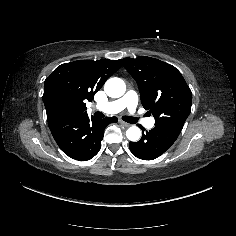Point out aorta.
<instances>
[{"label":"aorta","mask_w":236,"mask_h":236,"mask_svg":"<svg viewBox=\"0 0 236 236\" xmlns=\"http://www.w3.org/2000/svg\"><path fill=\"white\" fill-rule=\"evenodd\" d=\"M104 90L109 97H121L126 91L125 83L119 78H110L104 85ZM141 130L137 126H131L126 131V136L130 141L136 142L141 137Z\"/></svg>","instance_id":"1"}]
</instances>
